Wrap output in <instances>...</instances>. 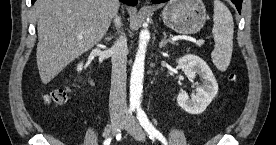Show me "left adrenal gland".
<instances>
[{
    "label": "left adrenal gland",
    "mask_w": 276,
    "mask_h": 145,
    "mask_svg": "<svg viewBox=\"0 0 276 145\" xmlns=\"http://www.w3.org/2000/svg\"><path fill=\"white\" fill-rule=\"evenodd\" d=\"M167 43H171V44H176V42L170 40V39H167V34L166 32L164 31L163 32V39L160 41L159 43V47L162 48V47H165L167 45Z\"/></svg>",
    "instance_id": "left-adrenal-gland-1"
}]
</instances>
